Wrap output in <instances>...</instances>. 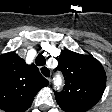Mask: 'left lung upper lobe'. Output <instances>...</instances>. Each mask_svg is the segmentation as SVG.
Listing matches in <instances>:
<instances>
[{"label": "left lung upper lobe", "instance_id": "obj_1", "mask_svg": "<svg viewBox=\"0 0 112 112\" xmlns=\"http://www.w3.org/2000/svg\"><path fill=\"white\" fill-rule=\"evenodd\" d=\"M56 70L65 77L63 91L55 98L65 112H86L101 98L106 85V73L101 63L91 55L62 50Z\"/></svg>", "mask_w": 112, "mask_h": 112}]
</instances>
